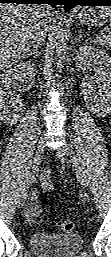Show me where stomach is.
<instances>
[{"label": "stomach", "mask_w": 111, "mask_h": 257, "mask_svg": "<svg viewBox=\"0 0 111 257\" xmlns=\"http://www.w3.org/2000/svg\"><path fill=\"white\" fill-rule=\"evenodd\" d=\"M81 23L90 26L101 27L107 21L104 8H84L78 15Z\"/></svg>", "instance_id": "stomach-1"}]
</instances>
